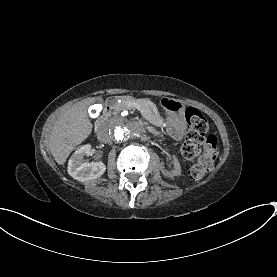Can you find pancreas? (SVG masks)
Returning a JSON list of instances; mask_svg holds the SVG:
<instances>
[{
  "instance_id": "cf45deb5",
  "label": "pancreas",
  "mask_w": 277,
  "mask_h": 277,
  "mask_svg": "<svg viewBox=\"0 0 277 277\" xmlns=\"http://www.w3.org/2000/svg\"><path fill=\"white\" fill-rule=\"evenodd\" d=\"M138 107L142 114H145L144 119L147 124L154 127L162 126V119L159 116V108L146 98H141L137 101V98L132 95L125 96H109L104 100V108L108 114L115 115L119 112H123L126 109L132 110Z\"/></svg>"
}]
</instances>
